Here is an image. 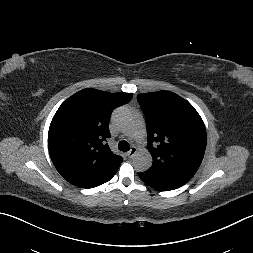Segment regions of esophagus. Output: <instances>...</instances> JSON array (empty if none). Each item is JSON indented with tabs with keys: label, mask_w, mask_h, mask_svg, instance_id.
Instances as JSON below:
<instances>
[{
	"label": "esophagus",
	"mask_w": 253,
	"mask_h": 253,
	"mask_svg": "<svg viewBox=\"0 0 253 253\" xmlns=\"http://www.w3.org/2000/svg\"><path fill=\"white\" fill-rule=\"evenodd\" d=\"M136 151H137L136 147H132L131 150L127 153V156L130 158L133 157Z\"/></svg>",
	"instance_id": "esophagus-1"
}]
</instances>
